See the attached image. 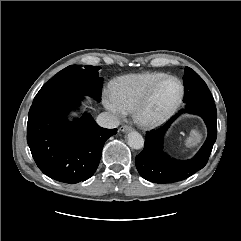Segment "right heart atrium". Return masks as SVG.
Wrapping results in <instances>:
<instances>
[{
  "mask_svg": "<svg viewBox=\"0 0 241 241\" xmlns=\"http://www.w3.org/2000/svg\"><path fill=\"white\" fill-rule=\"evenodd\" d=\"M103 104L105 108L110 111L116 117H123L126 114L125 108L117 101L115 96L110 90H106L103 93Z\"/></svg>",
  "mask_w": 241,
  "mask_h": 241,
  "instance_id": "right-heart-atrium-1",
  "label": "right heart atrium"
}]
</instances>
